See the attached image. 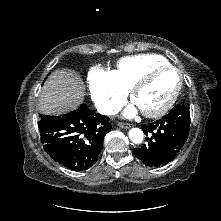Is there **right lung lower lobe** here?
Instances as JSON below:
<instances>
[{"mask_svg":"<svg viewBox=\"0 0 221 221\" xmlns=\"http://www.w3.org/2000/svg\"><path fill=\"white\" fill-rule=\"evenodd\" d=\"M44 150L58 163L75 171L96 163L104 136L111 130L109 118L82 104L61 116H42L38 122Z\"/></svg>","mask_w":221,"mask_h":221,"instance_id":"right-lung-lower-lobe-1","label":"right lung lower lobe"}]
</instances>
